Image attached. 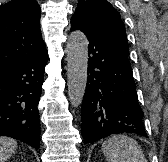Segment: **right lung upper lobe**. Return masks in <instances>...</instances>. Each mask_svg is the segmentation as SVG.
<instances>
[{"label":"right lung upper lobe","mask_w":168,"mask_h":162,"mask_svg":"<svg viewBox=\"0 0 168 162\" xmlns=\"http://www.w3.org/2000/svg\"><path fill=\"white\" fill-rule=\"evenodd\" d=\"M46 52L36 0H10L0 8V71Z\"/></svg>","instance_id":"obj_1"}]
</instances>
